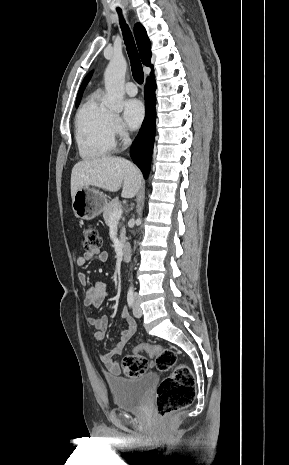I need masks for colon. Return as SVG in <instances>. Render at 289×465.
I'll list each match as a JSON object with an SVG mask.
<instances>
[{
  "mask_svg": "<svg viewBox=\"0 0 289 465\" xmlns=\"http://www.w3.org/2000/svg\"><path fill=\"white\" fill-rule=\"evenodd\" d=\"M81 245L87 252L97 250L101 239L94 227L87 226L82 230ZM145 351L155 356L159 371L171 370L169 376L159 384L155 394V405L160 415L189 406L195 396V379L190 367L178 362L175 351L157 345L143 343L122 360L123 373L128 377H139L147 371V360L140 354Z\"/></svg>",
  "mask_w": 289,
  "mask_h": 465,
  "instance_id": "colon-1",
  "label": "colon"
}]
</instances>
